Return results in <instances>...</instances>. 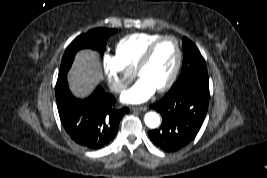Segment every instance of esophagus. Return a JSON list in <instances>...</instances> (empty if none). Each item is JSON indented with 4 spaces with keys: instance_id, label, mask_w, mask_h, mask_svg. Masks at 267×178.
<instances>
[{
    "instance_id": "esophagus-1",
    "label": "esophagus",
    "mask_w": 267,
    "mask_h": 178,
    "mask_svg": "<svg viewBox=\"0 0 267 178\" xmlns=\"http://www.w3.org/2000/svg\"><path fill=\"white\" fill-rule=\"evenodd\" d=\"M132 110H134V111H146L147 107L146 106L133 107Z\"/></svg>"
}]
</instances>
